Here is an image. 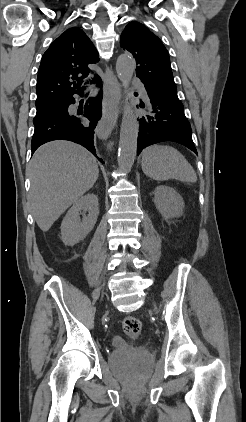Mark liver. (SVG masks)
I'll return each mask as SVG.
<instances>
[{
	"label": "liver",
	"instance_id": "6515ba94",
	"mask_svg": "<svg viewBox=\"0 0 246 422\" xmlns=\"http://www.w3.org/2000/svg\"><path fill=\"white\" fill-rule=\"evenodd\" d=\"M29 203L39 228L46 232L96 182L95 157L70 141H52L39 147L28 167Z\"/></svg>",
	"mask_w": 246,
	"mask_h": 422
}]
</instances>
